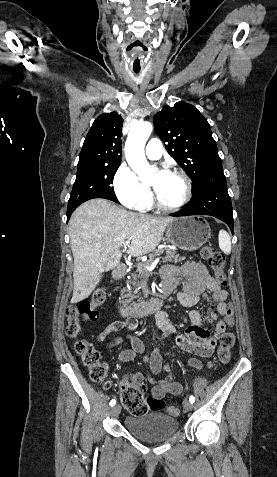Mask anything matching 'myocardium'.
I'll list each match as a JSON object with an SVG mask.
<instances>
[{
	"instance_id": "1",
	"label": "myocardium",
	"mask_w": 277,
	"mask_h": 477,
	"mask_svg": "<svg viewBox=\"0 0 277 477\" xmlns=\"http://www.w3.org/2000/svg\"><path fill=\"white\" fill-rule=\"evenodd\" d=\"M166 172L167 173H172V174H174V175H176V176H178L182 179V181L184 183V187H185L184 196L178 204L170 206V205L164 204L161 201V199L159 198L155 189L152 188L153 200H154V204L156 205V207L158 209H160L162 211H165V212H176V211H179L182 208H184L189 203V201L191 200L192 191H193L192 182H191L190 177L182 170L171 169V170H168Z\"/></svg>"
}]
</instances>
